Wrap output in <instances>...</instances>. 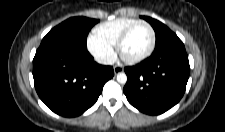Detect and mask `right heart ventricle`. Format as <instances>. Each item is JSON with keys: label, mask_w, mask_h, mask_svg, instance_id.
Here are the masks:
<instances>
[{"label": "right heart ventricle", "mask_w": 225, "mask_h": 132, "mask_svg": "<svg viewBox=\"0 0 225 132\" xmlns=\"http://www.w3.org/2000/svg\"><path fill=\"white\" fill-rule=\"evenodd\" d=\"M135 21L134 18L120 17L102 22L94 28V36L113 47L121 33Z\"/></svg>", "instance_id": "e07e8e85"}]
</instances>
